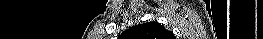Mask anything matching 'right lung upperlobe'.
<instances>
[{"label": "right lung upper lobe", "instance_id": "cb5924a9", "mask_svg": "<svg viewBox=\"0 0 263 39\" xmlns=\"http://www.w3.org/2000/svg\"><path fill=\"white\" fill-rule=\"evenodd\" d=\"M122 35L134 39H174L173 34L158 22H147L133 26L124 31Z\"/></svg>", "mask_w": 263, "mask_h": 39}]
</instances>
